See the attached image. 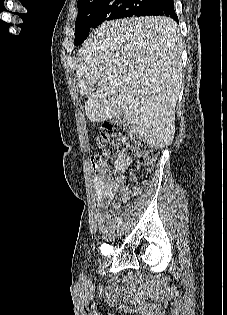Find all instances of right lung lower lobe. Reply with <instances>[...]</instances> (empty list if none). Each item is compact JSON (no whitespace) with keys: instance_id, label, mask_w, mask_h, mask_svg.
Returning a JSON list of instances; mask_svg holds the SVG:
<instances>
[{"instance_id":"obj_1","label":"right lung lower lobe","mask_w":227,"mask_h":315,"mask_svg":"<svg viewBox=\"0 0 227 315\" xmlns=\"http://www.w3.org/2000/svg\"><path fill=\"white\" fill-rule=\"evenodd\" d=\"M167 16L178 22V17L175 13L173 0H155L144 10H136L133 16Z\"/></svg>"}]
</instances>
